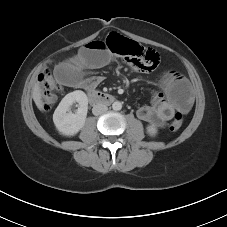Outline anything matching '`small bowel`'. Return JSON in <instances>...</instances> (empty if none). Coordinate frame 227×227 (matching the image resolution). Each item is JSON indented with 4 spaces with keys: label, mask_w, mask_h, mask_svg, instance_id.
Segmentation results:
<instances>
[{
    "label": "small bowel",
    "mask_w": 227,
    "mask_h": 227,
    "mask_svg": "<svg viewBox=\"0 0 227 227\" xmlns=\"http://www.w3.org/2000/svg\"><path fill=\"white\" fill-rule=\"evenodd\" d=\"M111 59L106 43L101 39H94L81 47L75 56L58 64L54 69V76L69 87L93 90L102 82V77H84V70L104 67ZM127 64L138 70L131 63ZM160 86L163 92L153 93L150 104L141 106L137 110V116L146 123L162 128L175 111L188 112L193 105V97L188 81L176 72H165L161 76Z\"/></svg>",
    "instance_id": "obj_1"
}]
</instances>
